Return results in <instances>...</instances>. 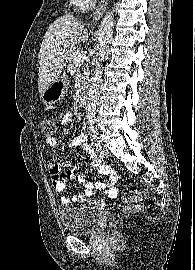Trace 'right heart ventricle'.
<instances>
[{
  "label": "right heart ventricle",
  "mask_w": 195,
  "mask_h": 270,
  "mask_svg": "<svg viewBox=\"0 0 195 270\" xmlns=\"http://www.w3.org/2000/svg\"><path fill=\"white\" fill-rule=\"evenodd\" d=\"M71 1L76 7L80 8V9L87 8V5L82 0H71Z\"/></svg>",
  "instance_id": "obj_1"
}]
</instances>
